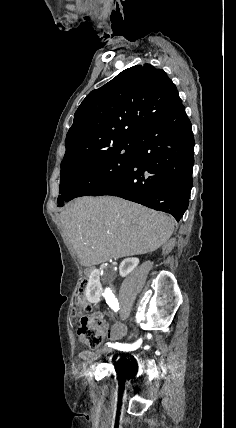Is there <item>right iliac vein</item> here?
<instances>
[{
    "instance_id": "right-iliac-vein-1",
    "label": "right iliac vein",
    "mask_w": 236,
    "mask_h": 428,
    "mask_svg": "<svg viewBox=\"0 0 236 428\" xmlns=\"http://www.w3.org/2000/svg\"><path fill=\"white\" fill-rule=\"evenodd\" d=\"M113 346H103L102 350L104 351L102 354L104 356H106L107 354H110L111 351H113L114 349L112 348Z\"/></svg>"
}]
</instances>
